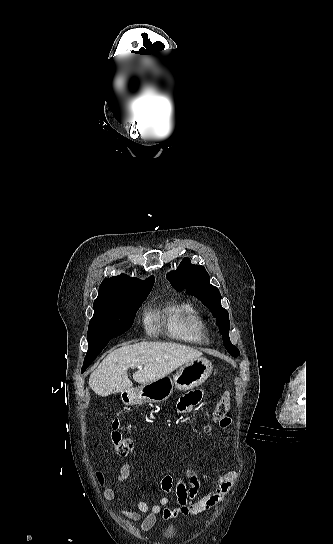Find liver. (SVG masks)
Returning a JSON list of instances; mask_svg holds the SVG:
<instances>
[{
	"mask_svg": "<svg viewBox=\"0 0 333 544\" xmlns=\"http://www.w3.org/2000/svg\"><path fill=\"white\" fill-rule=\"evenodd\" d=\"M202 352L186 345L169 342H140L124 345L110 352L89 378L90 388L100 396L132 389L127 370L143 365L133 374L140 384L167 376L178 367L201 358Z\"/></svg>",
	"mask_w": 333,
	"mask_h": 544,
	"instance_id": "obj_1",
	"label": "liver"
}]
</instances>
